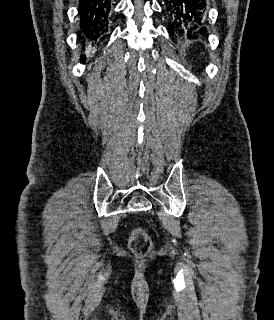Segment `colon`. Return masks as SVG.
Masks as SVG:
<instances>
[{"label":"colon","instance_id":"5ec220e1","mask_svg":"<svg viewBox=\"0 0 274 320\" xmlns=\"http://www.w3.org/2000/svg\"><path fill=\"white\" fill-rule=\"evenodd\" d=\"M151 240L141 227L136 228L130 237L129 248L137 256H145L151 250Z\"/></svg>","mask_w":274,"mask_h":320}]
</instances>
